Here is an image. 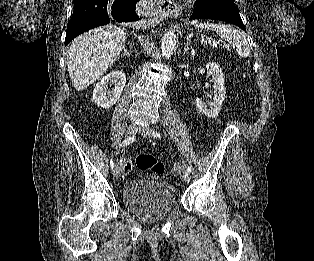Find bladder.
Wrapping results in <instances>:
<instances>
[{"label": "bladder", "instance_id": "31cf9c89", "mask_svg": "<svg viewBox=\"0 0 314 261\" xmlns=\"http://www.w3.org/2000/svg\"><path fill=\"white\" fill-rule=\"evenodd\" d=\"M123 205L146 221L165 218L176 204V189L165 181L132 180L122 188Z\"/></svg>", "mask_w": 314, "mask_h": 261}]
</instances>
